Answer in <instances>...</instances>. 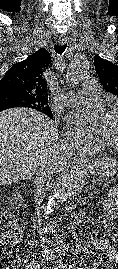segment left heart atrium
<instances>
[{
  "label": "left heart atrium",
  "instance_id": "39dd6f15",
  "mask_svg": "<svg viewBox=\"0 0 118 269\" xmlns=\"http://www.w3.org/2000/svg\"><path fill=\"white\" fill-rule=\"evenodd\" d=\"M104 117L100 110L81 108L70 115V121L81 131L96 132Z\"/></svg>",
  "mask_w": 118,
  "mask_h": 269
}]
</instances>
